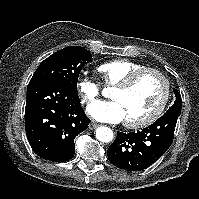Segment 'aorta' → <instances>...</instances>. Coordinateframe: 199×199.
<instances>
[{
  "label": "aorta",
  "instance_id": "762f6f07",
  "mask_svg": "<svg viewBox=\"0 0 199 199\" xmlns=\"http://www.w3.org/2000/svg\"><path fill=\"white\" fill-rule=\"evenodd\" d=\"M96 138L100 142L108 143L113 139V131L108 127H98L96 129Z\"/></svg>",
  "mask_w": 199,
  "mask_h": 199
}]
</instances>
